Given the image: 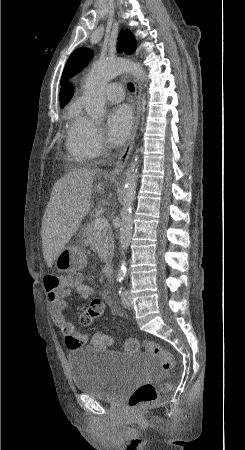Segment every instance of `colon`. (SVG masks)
I'll return each mask as SVG.
<instances>
[{
	"instance_id": "colon-1",
	"label": "colon",
	"mask_w": 245,
	"mask_h": 450,
	"mask_svg": "<svg viewBox=\"0 0 245 450\" xmlns=\"http://www.w3.org/2000/svg\"><path fill=\"white\" fill-rule=\"evenodd\" d=\"M81 276L78 272H71L65 276H49L46 277L45 289L47 291H56L71 286L80 281ZM103 311V302L93 300L81 314L79 322L83 326H89L97 319ZM87 341L86 335L81 331H76L67 337V344L70 347L82 346ZM138 346L144 348L148 353L155 356L159 365L163 370H171L174 367L173 355L165 350L162 346L148 340L137 343L130 338L125 343V349L128 351L135 350ZM171 383L165 382L161 385V390L168 391ZM159 399V392L152 383H144L136 388L128 400L129 408L134 412H139L141 408L153 404Z\"/></svg>"
}]
</instances>
